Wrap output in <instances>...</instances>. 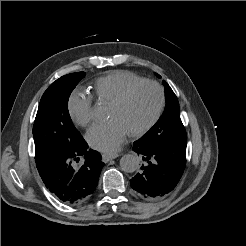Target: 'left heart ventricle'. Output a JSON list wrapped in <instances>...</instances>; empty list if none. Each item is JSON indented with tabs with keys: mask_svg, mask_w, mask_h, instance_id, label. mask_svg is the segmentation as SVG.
Segmentation results:
<instances>
[{
	"mask_svg": "<svg viewBox=\"0 0 246 246\" xmlns=\"http://www.w3.org/2000/svg\"><path fill=\"white\" fill-rule=\"evenodd\" d=\"M159 103V92L155 86L137 88L121 106H110L108 117L120 120L129 132L144 126L153 117Z\"/></svg>",
	"mask_w": 246,
	"mask_h": 246,
	"instance_id": "b2bd125f",
	"label": "left heart ventricle"
}]
</instances>
